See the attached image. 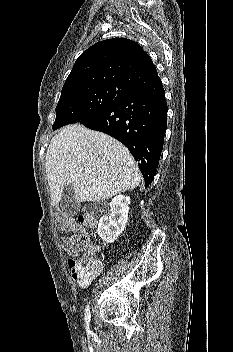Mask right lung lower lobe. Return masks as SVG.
I'll return each instance as SVG.
<instances>
[{
    "label": "right lung lower lobe",
    "mask_w": 233,
    "mask_h": 352,
    "mask_svg": "<svg viewBox=\"0 0 233 352\" xmlns=\"http://www.w3.org/2000/svg\"><path fill=\"white\" fill-rule=\"evenodd\" d=\"M167 103L161 80L79 122L123 143L148 187L157 171L167 128Z\"/></svg>",
    "instance_id": "98d812e1"
}]
</instances>
